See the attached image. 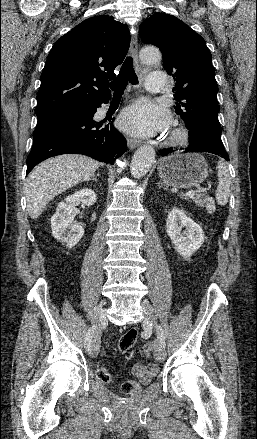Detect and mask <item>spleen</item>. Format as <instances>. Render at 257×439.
Wrapping results in <instances>:
<instances>
[{
  "instance_id": "obj_1",
  "label": "spleen",
  "mask_w": 257,
  "mask_h": 439,
  "mask_svg": "<svg viewBox=\"0 0 257 439\" xmlns=\"http://www.w3.org/2000/svg\"><path fill=\"white\" fill-rule=\"evenodd\" d=\"M218 186L215 192V198L219 205L227 204L230 194V175L223 161L218 162Z\"/></svg>"
}]
</instances>
